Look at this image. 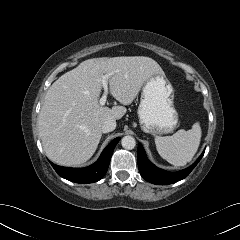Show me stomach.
Here are the masks:
<instances>
[{
	"instance_id": "1",
	"label": "stomach",
	"mask_w": 240,
	"mask_h": 240,
	"mask_svg": "<svg viewBox=\"0 0 240 240\" xmlns=\"http://www.w3.org/2000/svg\"><path fill=\"white\" fill-rule=\"evenodd\" d=\"M137 113L141 129L153 136L171 133L176 128L174 90L164 74H155L144 83Z\"/></svg>"
}]
</instances>
